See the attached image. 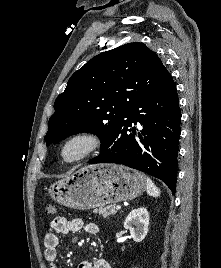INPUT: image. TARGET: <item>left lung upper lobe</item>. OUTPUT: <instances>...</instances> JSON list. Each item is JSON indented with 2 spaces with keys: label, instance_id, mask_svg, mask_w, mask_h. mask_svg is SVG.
Segmentation results:
<instances>
[{
  "label": "left lung upper lobe",
  "instance_id": "obj_1",
  "mask_svg": "<svg viewBox=\"0 0 221 268\" xmlns=\"http://www.w3.org/2000/svg\"><path fill=\"white\" fill-rule=\"evenodd\" d=\"M172 80L156 53L143 43H128L103 52L76 71L54 103L47 146L77 133L105 141L136 103Z\"/></svg>",
  "mask_w": 221,
  "mask_h": 268
}]
</instances>
